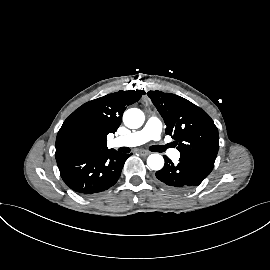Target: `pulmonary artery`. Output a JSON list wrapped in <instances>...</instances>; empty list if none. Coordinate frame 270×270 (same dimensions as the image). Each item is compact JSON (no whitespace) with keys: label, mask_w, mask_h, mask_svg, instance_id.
Segmentation results:
<instances>
[{"label":"pulmonary artery","mask_w":270,"mask_h":270,"mask_svg":"<svg viewBox=\"0 0 270 270\" xmlns=\"http://www.w3.org/2000/svg\"><path fill=\"white\" fill-rule=\"evenodd\" d=\"M162 124L156 117H150L144 127L129 135L117 137L113 140L115 146H138L148 142L149 140L159 141L161 138ZM164 151L173 159H178L180 154L177 150L168 149L165 144H160Z\"/></svg>","instance_id":"pulmonary-artery-1"}]
</instances>
